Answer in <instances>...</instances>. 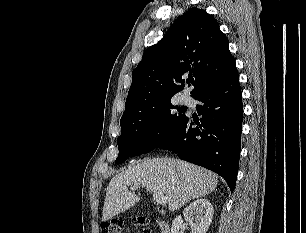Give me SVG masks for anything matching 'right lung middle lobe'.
Masks as SVG:
<instances>
[{
    "instance_id": "1",
    "label": "right lung middle lobe",
    "mask_w": 306,
    "mask_h": 233,
    "mask_svg": "<svg viewBox=\"0 0 306 233\" xmlns=\"http://www.w3.org/2000/svg\"><path fill=\"white\" fill-rule=\"evenodd\" d=\"M176 108L168 99L122 116L115 164L123 163L129 156L147 153L173 135L187 117L181 108L179 114L174 113Z\"/></svg>"
}]
</instances>
